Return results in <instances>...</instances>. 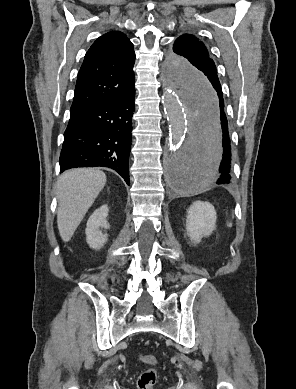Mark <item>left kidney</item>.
Here are the masks:
<instances>
[{
    "mask_svg": "<svg viewBox=\"0 0 296 389\" xmlns=\"http://www.w3.org/2000/svg\"><path fill=\"white\" fill-rule=\"evenodd\" d=\"M216 211L209 202L195 201L187 211L186 232L193 243L216 229Z\"/></svg>",
    "mask_w": 296,
    "mask_h": 389,
    "instance_id": "1",
    "label": "left kidney"
}]
</instances>
